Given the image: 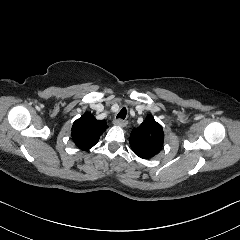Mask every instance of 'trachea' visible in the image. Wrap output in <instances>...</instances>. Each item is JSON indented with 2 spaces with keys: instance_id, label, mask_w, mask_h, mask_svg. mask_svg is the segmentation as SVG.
<instances>
[{
  "instance_id": "1",
  "label": "trachea",
  "mask_w": 240,
  "mask_h": 240,
  "mask_svg": "<svg viewBox=\"0 0 240 240\" xmlns=\"http://www.w3.org/2000/svg\"><path fill=\"white\" fill-rule=\"evenodd\" d=\"M126 114H127V109L125 107H123L116 117L121 118V119H125Z\"/></svg>"
}]
</instances>
